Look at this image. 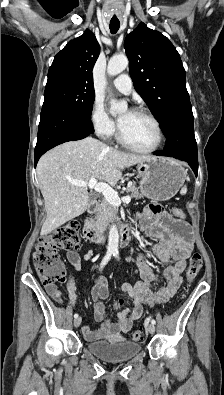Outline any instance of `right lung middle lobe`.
<instances>
[{
    "instance_id": "1",
    "label": "right lung middle lobe",
    "mask_w": 224,
    "mask_h": 395,
    "mask_svg": "<svg viewBox=\"0 0 224 395\" xmlns=\"http://www.w3.org/2000/svg\"><path fill=\"white\" fill-rule=\"evenodd\" d=\"M44 103L54 104L86 118H91L94 87L65 77H49Z\"/></svg>"
}]
</instances>
